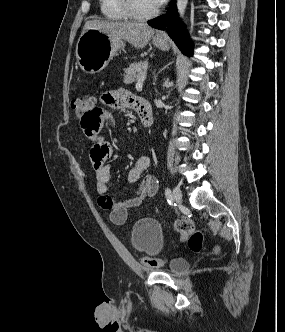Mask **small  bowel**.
<instances>
[{
  "label": "small bowel",
  "instance_id": "obj_1",
  "mask_svg": "<svg viewBox=\"0 0 285 332\" xmlns=\"http://www.w3.org/2000/svg\"><path fill=\"white\" fill-rule=\"evenodd\" d=\"M110 108L128 110L138 114L137 99L125 89L119 88L104 93L100 98V106H91L88 111H83L82 115H78V122H81L83 133L94 141L90 157L95 169L98 205L109 213L113 224L123 225L127 220L129 210L139 207L152 198L157 192L158 184L152 175H145L133 196L123 200H114L111 197L110 166L107 164V160L113 155V147L98 136V133H104L105 126H111L113 111ZM150 164V157L141 155L128 173V182L137 183Z\"/></svg>",
  "mask_w": 285,
  "mask_h": 332
}]
</instances>
